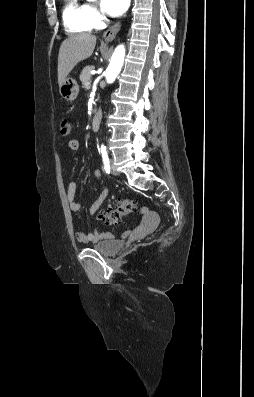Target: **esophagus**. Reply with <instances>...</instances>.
<instances>
[{"mask_svg": "<svg viewBox=\"0 0 254 397\" xmlns=\"http://www.w3.org/2000/svg\"><path fill=\"white\" fill-rule=\"evenodd\" d=\"M121 27V23L117 22L116 24H114L113 26H111L109 29H107L104 34H103V38L106 42H110L112 41L116 34L118 33V31L120 30Z\"/></svg>", "mask_w": 254, "mask_h": 397, "instance_id": "34e87169", "label": "esophagus"}]
</instances>
